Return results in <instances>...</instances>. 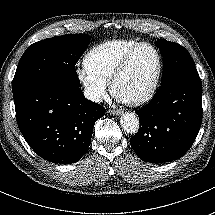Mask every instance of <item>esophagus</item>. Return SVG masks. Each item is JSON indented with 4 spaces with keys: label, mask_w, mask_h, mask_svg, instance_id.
I'll use <instances>...</instances> for the list:
<instances>
[{
    "label": "esophagus",
    "mask_w": 215,
    "mask_h": 215,
    "mask_svg": "<svg viewBox=\"0 0 215 215\" xmlns=\"http://www.w3.org/2000/svg\"><path fill=\"white\" fill-rule=\"evenodd\" d=\"M111 113L119 116L122 114V111L121 110H113V111H111Z\"/></svg>",
    "instance_id": "34e87169"
}]
</instances>
